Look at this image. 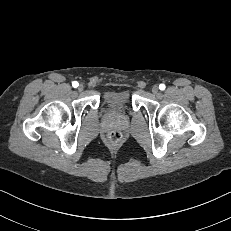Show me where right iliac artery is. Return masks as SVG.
Listing matches in <instances>:
<instances>
[{"instance_id": "right-iliac-artery-1", "label": "right iliac artery", "mask_w": 231, "mask_h": 231, "mask_svg": "<svg viewBox=\"0 0 231 231\" xmlns=\"http://www.w3.org/2000/svg\"><path fill=\"white\" fill-rule=\"evenodd\" d=\"M78 85H79V84H78V82H76V81L72 83V86H73L74 88L78 87Z\"/></svg>"}]
</instances>
